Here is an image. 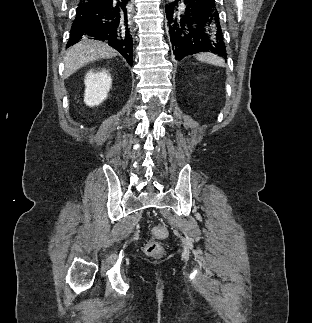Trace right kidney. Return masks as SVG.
Instances as JSON below:
<instances>
[{"mask_svg":"<svg viewBox=\"0 0 312 323\" xmlns=\"http://www.w3.org/2000/svg\"><path fill=\"white\" fill-rule=\"evenodd\" d=\"M84 102L87 106H99L108 96L112 80L106 70H90L85 76Z\"/></svg>","mask_w":312,"mask_h":323,"instance_id":"right-kidney-1","label":"right kidney"}]
</instances>
